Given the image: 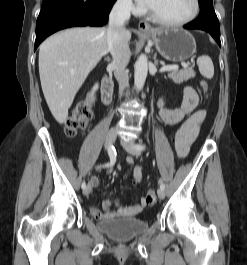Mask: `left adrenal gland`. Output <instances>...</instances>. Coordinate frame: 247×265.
<instances>
[{"label": "left adrenal gland", "mask_w": 247, "mask_h": 265, "mask_svg": "<svg viewBox=\"0 0 247 265\" xmlns=\"http://www.w3.org/2000/svg\"><path fill=\"white\" fill-rule=\"evenodd\" d=\"M156 56H157V54L154 55V61H155V64L158 65V61L156 60Z\"/></svg>", "instance_id": "obj_1"}]
</instances>
